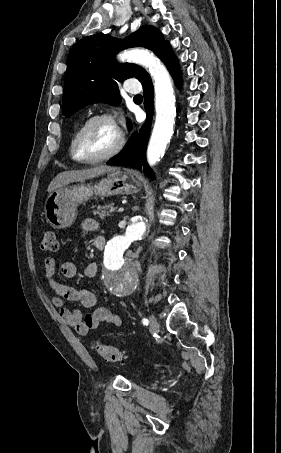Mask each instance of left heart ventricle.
Instances as JSON below:
<instances>
[{
	"mask_svg": "<svg viewBox=\"0 0 281 453\" xmlns=\"http://www.w3.org/2000/svg\"><path fill=\"white\" fill-rule=\"evenodd\" d=\"M119 140L118 128L108 122H94L84 132L79 143V154L84 159L103 155Z\"/></svg>",
	"mask_w": 281,
	"mask_h": 453,
	"instance_id": "b2bd125f",
	"label": "left heart ventricle"
}]
</instances>
